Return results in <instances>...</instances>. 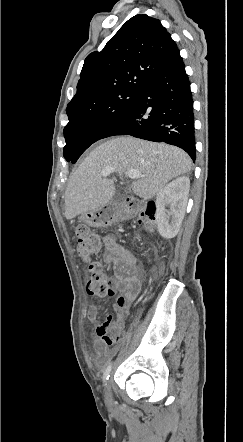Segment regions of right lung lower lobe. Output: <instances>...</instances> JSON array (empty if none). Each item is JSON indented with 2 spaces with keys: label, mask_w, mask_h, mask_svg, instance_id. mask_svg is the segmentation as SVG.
<instances>
[{
  "label": "right lung lower lobe",
  "mask_w": 243,
  "mask_h": 442,
  "mask_svg": "<svg viewBox=\"0 0 243 442\" xmlns=\"http://www.w3.org/2000/svg\"><path fill=\"white\" fill-rule=\"evenodd\" d=\"M114 135L172 144L195 160L193 99L179 52L148 78L128 111L103 138Z\"/></svg>",
  "instance_id": "1"
}]
</instances>
